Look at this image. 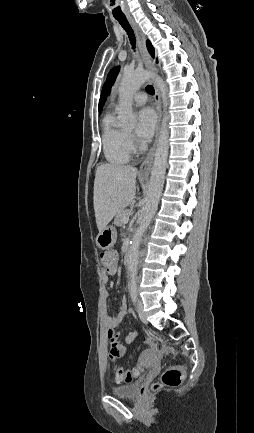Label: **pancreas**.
<instances>
[{"mask_svg": "<svg viewBox=\"0 0 254 433\" xmlns=\"http://www.w3.org/2000/svg\"><path fill=\"white\" fill-rule=\"evenodd\" d=\"M129 214H130V210L129 209H123V210H121L120 212H118L116 214V217L114 219V224L116 226H122L124 224L123 223V217L129 216Z\"/></svg>", "mask_w": 254, "mask_h": 433, "instance_id": "1", "label": "pancreas"}]
</instances>
